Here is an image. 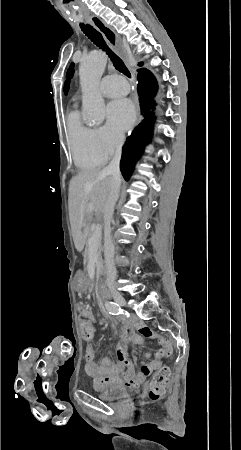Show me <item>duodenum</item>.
<instances>
[{"label":"duodenum","instance_id":"obj_1","mask_svg":"<svg viewBox=\"0 0 241 450\" xmlns=\"http://www.w3.org/2000/svg\"><path fill=\"white\" fill-rule=\"evenodd\" d=\"M95 289H96L97 293H99V294L102 295V296H105L106 293H107V288H106V286H105L103 283H101V282H98V283L95 285Z\"/></svg>","mask_w":241,"mask_h":450}]
</instances>
